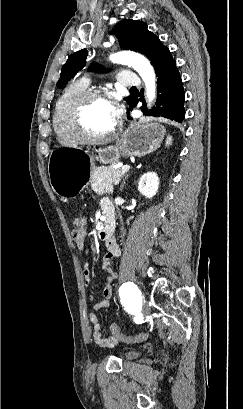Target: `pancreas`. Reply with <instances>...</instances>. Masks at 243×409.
Segmentation results:
<instances>
[{
    "label": "pancreas",
    "mask_w": 243,
    "mask_h": 409,
    "mask_svg": "<svg viewBox=\"0 0 243 409\" xmlns=\"http://www.w3.org/2000/svg\"><path fill=\"white\" fill-rule=\"evenodd\" d=\"M127 171L113 168L112 165L97 167L91 173V185L98 188L103 184H118Z\"/></svg>",
    "instance_id": "pancreas-1"
}]
</instances>
